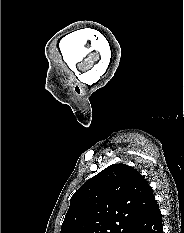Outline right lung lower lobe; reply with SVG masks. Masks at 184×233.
<instances>
[{"mask_svg": "<svg viewBox=\"0 0 184 233\" xmlns=\"http://www.w3.org/2000/svg\"><path fill=\"white\" fill-rule=\"evenodd\" d=\"M126 233H163L162 217L157 203L132 225Z\"/></svg>", "mask_w": 184, "mask_h": 233, "instance_id": "1", "label": "right lung lower lobe"}]
</instances>
